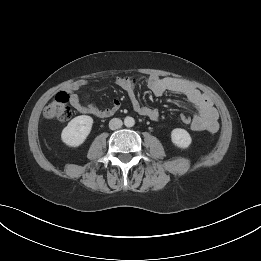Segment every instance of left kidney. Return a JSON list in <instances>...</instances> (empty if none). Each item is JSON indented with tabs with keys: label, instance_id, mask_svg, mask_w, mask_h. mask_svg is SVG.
<instances>
[{
	"label": "left kidney",
	"instance_id": "5707ae66",
	"mask_svg": "<svg viewBox=\"0 0 261 261\" xmlns=\"http://www.w3.org/2000/svg\"><path fill=\"white\" fill-rule=\"evenodd\" d=\"M171 141L177 147L186 149L190 146L192 139L185 129L176 128L171 132Z\"/></svg>",
	"mask_w": 261,
	"mask_h": 261
}]
</instances>
